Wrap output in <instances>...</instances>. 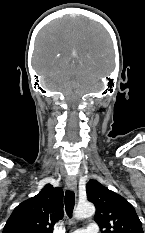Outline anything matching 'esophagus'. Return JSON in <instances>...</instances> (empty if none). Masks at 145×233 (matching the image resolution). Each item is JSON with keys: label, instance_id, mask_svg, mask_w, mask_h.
Returning <instances> with one entry per match:
<instances>
[{"label": "esophagus", "instance_id": "obj_1", "mask_svg": "<svg viewBox=\"0 0 145 233\" xmlns=\"http://www.w3.org/2000/svg\"><path fill=\"white\" fill-rule=\"evenodd\" d=\"M66 186L69 190L76 192L77 191V181L74 177L68 176L66 178Z\"/></svg>", "mask_w": 145, "mask_h": 233}]
</instances>
